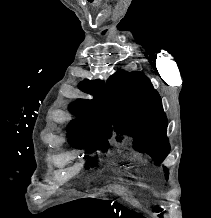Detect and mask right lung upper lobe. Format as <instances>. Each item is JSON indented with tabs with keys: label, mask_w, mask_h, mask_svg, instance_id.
Listing matches in <instances>:
<instances>
[{
	"label": "right lung upper lobe",
	"mask_w": 211,
	"mask_h": 218,
	"mask_svg": "<svg viewBox=\"0 0 211 218\" xmlns=\"http://www.w3.org/2000/svg\"><path fill=\"white\" fill-rule=\"evenodd\" d=\"M79 88L89 94H93L92 100L78 99L71 104V111L77 116L69 127L84 130L89 133H98L111 136L112 128L108 114V96L105 84L100 80H85L79 84ZM86 116H89L86 118Z\"/></svg>",
	"instance_id": "cb5924a9"
}]
</instances>
